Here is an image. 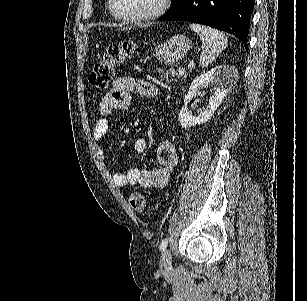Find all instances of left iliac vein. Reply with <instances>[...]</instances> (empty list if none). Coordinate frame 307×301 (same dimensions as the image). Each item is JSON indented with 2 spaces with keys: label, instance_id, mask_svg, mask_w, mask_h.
<instances>
[{
  "label": "left iliac vein",
  "instance_id": "left-iliac-vein-1",
  "mask_svg": "<svg viewBox=\"0 0 307 301\" xmlns=\"http://www.w3.org/2000/svg\"><path fill=\"white\" fill-rule=\"evenodd\" d=\"M160 266L168 270L171 267V254L168 249H164L160 256Z\"/></svg>",
  "mask_w": 307,
  "mask_h": 301
}]
</instances>
